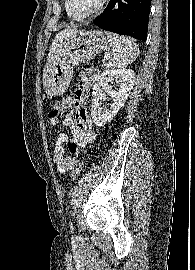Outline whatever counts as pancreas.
<instances>
[{
  "instance_id": "pancreas-1",
  "label": "pancreas",
  "mask_w": 195,
  "mask_h": 270,
  "mask_svg": "<svg viewBox=\"0 0 195 270\" xmlns=\"http://www.w3.org/2000/svg\"><path fill=\"white\" fill-rule=\"evenodd\" d=\"M102 66L103 67H108L109 66V61L107 58H105L103 61H102Z\"/></svg>"
}]
</instances>
